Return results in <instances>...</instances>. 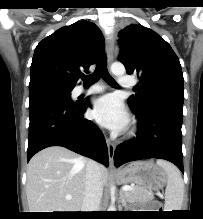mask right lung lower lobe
<instances>
[{"mask_svg":"<svg viewBox=\"0 0 203 219\" xmlns=\"http://www.w3.org/2000/svg\"><path fill=\"white\" fill-rule=\"evenodd\" d=\"M88 106L86 101L70 103L52 93L30 97L27 161L44 148L63 146L108 166L105 139L98 127L83 116Z\"/></svg>","mask_w":203,"mask_h":219,"instance_id":"1","label":"right lung lower lobe"}]
</instances>
